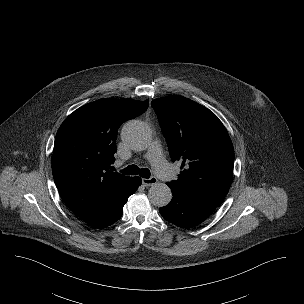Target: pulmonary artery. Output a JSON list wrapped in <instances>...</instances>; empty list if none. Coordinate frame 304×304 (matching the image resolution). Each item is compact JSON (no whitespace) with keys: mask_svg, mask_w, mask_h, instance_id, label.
Returning a JSON list of instances; mask_svg holds the SVG:
<instances>
[{"mask_svg":"<svg viewBox=\"0 0 304 304\" xmlns=\"http://www.w3.org/2000/svg\"><path fill=\"white\" fill-rule=\"evenodd\" d=\"M147 157L151 162V164L153 165L156 174L160 178H162L163 180H170L173 177L174 175L173 169L165 160L162 154L161 145L158 141H153L151 143Z\"/></svg>","mask_w":304,"mask_h":304,"instance_id":"pulmonary-artery-1","label":"pulmonary artery"}]
</instances>
